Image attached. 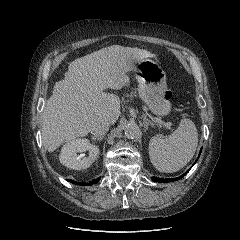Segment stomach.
<instances>
[{"label": "stomach", "mask_w": 240, "mask_h": 240, "mask_svg": "<svg viewBox=\"0 0 240 240\" xmlns=\"http://www.w3.org/2000/svg\"><path fill=\"white\" fill-rule=\"evenodd\" d=\"M134 72L139 83L140 98L154 115H167L171 110V104L165 97L166 73L162 67L147 58L136 64Z\"/></svg>", "instance_id": "obj_1"}]
</instances>
